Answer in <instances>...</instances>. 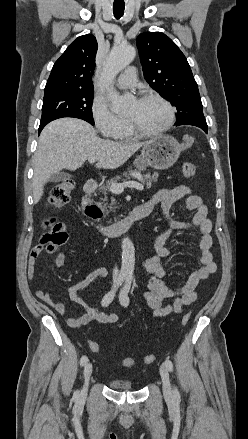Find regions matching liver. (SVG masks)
I'll list each match as a JSON object with an SVG mask.
<instances>
[{"label": "liver", "instance_id": "1", "mask_svg": "<svg viewBox=\"0 0 248 439\" xmlns=\"http://www.w3.org/2000/svg\"><path fill=\"white\" fill-rule=\"evenodd\" d=\"M145 144L101 139L89 123L77 118L52 121L42 130L34 155V203L40 201L50 176L62 169L74 171L88 159H95L97 168L115 169Z\"/></svg>", "mask_w": 248, "mask_h": 439}]
</instances>
